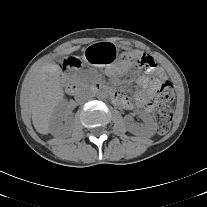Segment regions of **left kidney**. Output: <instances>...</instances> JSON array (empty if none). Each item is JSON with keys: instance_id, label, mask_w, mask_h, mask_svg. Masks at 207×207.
Returning <instances> with one entry per match:
<instances>
[{"instance_id": "1", "label": "left kidney", "mask_w": 207, "mask_h": 207, "mask_svg": "<svg viewBox=\"0 0 207 207\" xmlns=\"http://www.w3.org/2000/svg\"><path fill=\"white\" fill-rule=\"evenodd\" d=\"M138 114L141 117V119L144 121V125H142L141 127L137 126L136 124H134L131 117L127 116L125 120L129 132H131L134 135L152 137L156 132V124L153 118L151 117L150 114L142 110L138 111Z\"/></svg>"}]
</instances>
